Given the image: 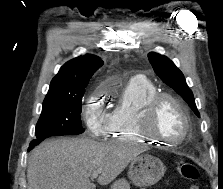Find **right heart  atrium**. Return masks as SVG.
Segmentation results:
<instances>
[{"label":"right heart atrium","instance_id":"1","mask_svg":"<svg viewBox=\"0 0 223 189\" xmlns=\"http://www.w3.org/2000/svg\"><path fill=\"white\" fill-rule=\"evenodd\" d=\"M100 95L95 91L87 100L84 108V117L88 129L94 136L102 135L105 132L106 117L99 106Z\"/></svg>","mask_w":223,"mask_h":189}]
</instances>
